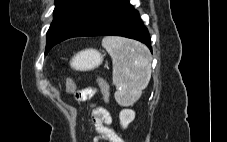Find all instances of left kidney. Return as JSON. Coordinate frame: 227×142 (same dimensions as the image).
<instances>
[{
	"label": "left kidney",
	"instance_id": "obj_1",
	"mask_svg": "<svg viewBox=\"0 0 227 142\" xmlns=\"http://www.w3.org/2000/svg\"><path fill=\"white\" fill-rule=\"evenodd\" d=\"M134 118L135 112L131 109H123L119 114L120 124L123 128H127Z\"/></svg>",
	"mask_w": 227,
	"mask_h": 142
}]
</instances>
